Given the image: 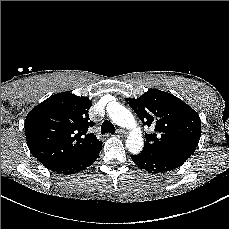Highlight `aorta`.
Masks as SVG:
<instances>
[{"mask_svg":"<svg viewBox=\"0 0 229 229\" xmlns=\"http://www.w3.org/2000/svg\"><path fill=\"white\" fill-rule=\"evenodd\" d=\"M107 111L112 121L121 127L132 129L127 140L126 147L132 154H138L143 149V138L132 113L117 102H111L107 106Z\"/></svg>","mask_w":229,"mask_h":229,"instance_id":"762f6f07","label":"aorta"}]
</instances>
